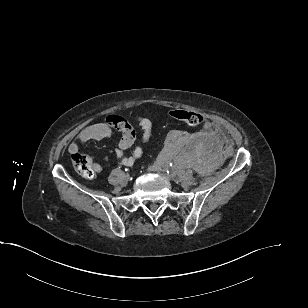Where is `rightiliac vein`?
I'll use <instances>...</instances> for the list:
<instances>
[{"mask_svg": "<svg viewBox=\"0 0 308 308\" xmlns=\"http://www.w3.org/2000/svg\"><path fill=\"white\" fill-rule=\"evenodd\" d=\"M126 178L129 179V176L127 175Z\"/></svg>", "mask_w": 308, "mask_h": 308, "instance_id": "obj_1", "label": "right iliac vein"}]
</instances>
